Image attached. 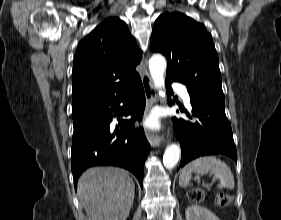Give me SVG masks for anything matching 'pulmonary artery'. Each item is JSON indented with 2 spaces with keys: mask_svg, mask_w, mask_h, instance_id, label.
Instances as JSON below:
<instances>
[{
  "mask_svg": "<svg viewBox=\"0 0 281 220\" xmlns=\"http://www.w3.org/2000/svg\"><path fill=\"white\" fill-rule=\"evenodd\" d=\"M173 88L182 97L185 105L188 108H191L190 96H189V93H188L186 87L182 84L175 83V84H173Z\"/></svg>",
  "mask_w": 281,
  "mask_h": 220,
  "instance_id": "e3ab8cb5",
  "label": "pulmonary artery"
}]
</instances>
